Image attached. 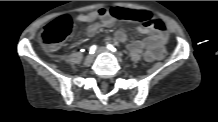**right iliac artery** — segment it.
Wrapping results in <instances>:
<instances>
[{
    "label": "right iliac artery",
    "mask_w": 218,
    "mask_h": 122,
    "mask_svg": "<svg viewBox=\"0 0 218 122\" xmlns=\"http://www.w3.org/2000/svg\"><path fill=\"white\" fill-rule=\"evenodd\" d=\"M96 49H97V46H96V45H92V46L90 47V49H89V53H90V54H93V53L96 51Z\"/></svg>",
    "instance_id": "right-iliac-artery-1"
}]
</instances>
